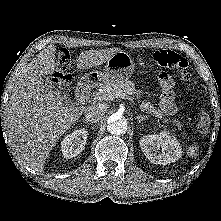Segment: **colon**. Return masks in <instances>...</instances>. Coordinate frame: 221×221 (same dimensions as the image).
Instances as JSON below:
<instances>
[{"instance_id": "5ec220e1", "label": "colon", "mask_w": 221, "mask_h": 221, "mask_svg": "<svg viewBox=\"0 0 221 221\" xmlns=\"http://www.w3.org/2000/svg\"><path fill=\"white\" fill-rule=\"evenodd\" d=\"M154 62L164 68L176 69L179 73L180 79L183 83L187 84L190 81V73L188 71L187 60L176 53L175 51L168 49H161L153 54ZM71 72V57L70 53L66 49L59 51L57 56V65L54 78L58 84H65ZM159 82L165 91H173V80L165 73L159 74ZM211 120L207 112L203 111L199 115L197 129L201 134H207L210 130Z\"/></svg>"}]
</instances>
